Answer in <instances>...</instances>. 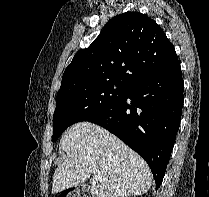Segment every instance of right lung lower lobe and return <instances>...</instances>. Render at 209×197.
I'll return each mask as SVG.
<instances>
[{"label":"right lung lower lobe","mask_w":209,"mask_h":197,"mask_svg":"<svg viewBox=\"0 0 209 197\" xmlns=\"http://www.w3.org/2000/svg\"><path fill=\"white\" fill-rule=\"evenodd\" d=\"M184 82L175 57L142 78L120 101L86 121L104 127L136 151L150 166L160 187L177 134Z\"/></svg>","instance_id":"98d812e1"}]
</instances>
